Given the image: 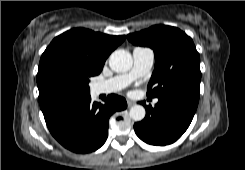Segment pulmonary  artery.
Instances as JSON below:
<instances>
[{
  "mask_svg": "<svg viewBox=\"0 0 245 170\" xmlns=\"http://www.w3.org/2000/svg\"><path fill=\"white\" fill-rule=\"evenodd\" d=\"M133 60L134 64L129 73L97 83L94 91L97 94H108L124 89L133 80L145 75L151 69L154 62V52L147 47H136L133 50ZM154 102L157 103L158 100L155 99Z\"/></svg>",
  "mask_w": 245,
  "mask_h": 170,
  "instance_id": "pulmonary-artery-1",
  "label": "pulmonary artery"
}]
</instances>
